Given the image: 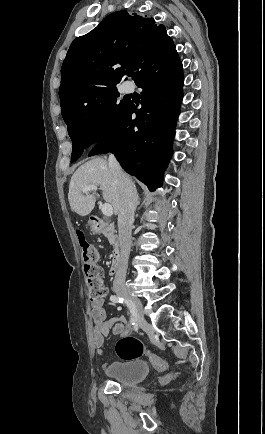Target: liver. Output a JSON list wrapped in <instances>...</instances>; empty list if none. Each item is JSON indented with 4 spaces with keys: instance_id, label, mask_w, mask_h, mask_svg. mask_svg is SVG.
Wrapping results in <instances>:
<instances>
[{
    "instance_id": "obj_1",
    "label": "liver",
    "mask_w": 265,
    "mask_h": 434,
    "mask_svg": "<svg viewBox=\"0 0 265 434\" xmlns=\"http://www.w3.org/2000/svg\"><path fill=\"white\" fill-rule=\"evenodd\" d=\"M85 186H100L105 202L113 206L117 216L120 210V190L113 170L103 158H95L80 166L73 174L69 184L68 200L72 212L79 216H88L92 212L96 198L94 194L83 196Z\"/></svg>"
}]
</instances>
